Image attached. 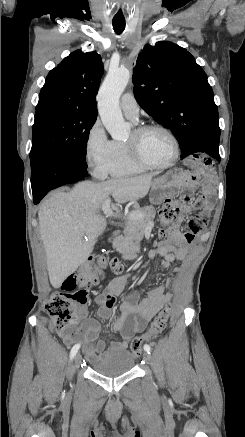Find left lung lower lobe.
Instances as JSON below:
<instances>
[{
    "instance_id": "left-lung-lower-lobe-1",
    "label": "left lung lower lobe",
    "mask_w": 245,
    "mask_h": 437,
    "mask_svg": "<svg viewBox=\"0 0 245 437\" xmlns=\"http://www.w3.org/2000/svg\"><path fill=\"white\" fill-rule=\"evenodd\" d=\"M200 152H205L211 157L215 158L217 161H220V155L218 149L215 148H202Z\"/></svg>"
}]
</instances>
